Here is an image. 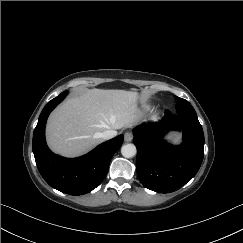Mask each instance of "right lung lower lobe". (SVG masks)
<instances>
[{
  "instance_id": "right-lung-lower-lobe-1",
  "label": "right lung lower lobe",
  "mask_w": 243,
  "mask_h": 243,
  "mask_svg": "<svg viewBox=\"0 0 243 243\" xmlns=\"http://www.w3.org/2000/svg\"><path fill=\"white\" fill-rule=\"evenodd\" d=\"M64 98H54L42 110L33 134V153L40 174L51 187L70 195H83L100 185L123 136L100 144L82 157L69 159L54 154L45 141V125L50 112Z\"/></svg>"
}]
</instances>
